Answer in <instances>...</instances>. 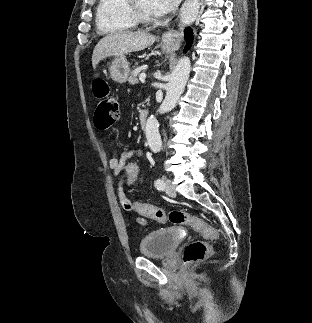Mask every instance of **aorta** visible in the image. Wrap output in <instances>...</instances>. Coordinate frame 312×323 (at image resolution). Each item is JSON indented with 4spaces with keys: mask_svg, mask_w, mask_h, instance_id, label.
Returning a JSON list of instances; mask_svg holds the SVG:
<instances>
[{
    "mask_svg": "<svg viewBox=\"0 0 312 323\" xmlns=\"http://www.w3.org/2000/svg\"><path fill=\"white\" fill-rule=\"evenodd\" d=\"M190 74V60L189 58H180L171 78L167 84L166 96L162 102L158 112L165 114L175 108L184 88L188 82ZM145 136L152 152H160L162 150V140L159 134L158 120L151 116L146 120Z\"/></svg>",
    "mask_w": 312,
    "mask_h": 323,
    "instance_id": "aorta-1",
    "label": "aorta"
}]
</instances>
